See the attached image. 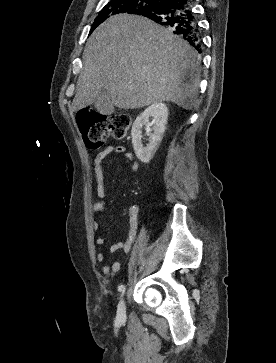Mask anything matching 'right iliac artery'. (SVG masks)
<instances>
[{
	"instance_id": "82829eb1",
	"label": "right iliac artery",
	"mask_w": 276,
	"mask_h": 363,
	"mask_svg": "<svg viewBox=\"0 0 276 363\" xmlns=\"http://www.w3.org/2000/svg\"><path fill=\"white\" fill-rule=\"evenodd\" d=\"M118 291L121 293V296L125 293V285H120L118 287Z\"/></svg>"
}]
</instances>
